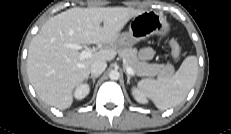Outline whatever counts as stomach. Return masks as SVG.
<instances>
[{
    "label": "stomach",
    "mask_w": 231,
    "mask_h": 134,
    "mask_svg": "<svg viewBox=\"0 0 231 134\" xmlns=\"http://www.w3.org/2000/svg\"><path fill=\"white\" fill-rule=\"evenodd\" d=\"M169 31L170 26L163 15L155 11H143L132 19L128 32L119 34L116 46L119 49L131 47L152 35L165 36Z\"/></svg>",
    "instance_id": "0dacf381"
}]
</instances>
